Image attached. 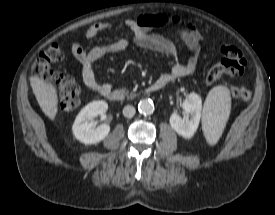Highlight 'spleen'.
I'll return each mask as SVG.
<instances>
[{"instance_id": "1", "label": "spleen", "mask_w": 275, "mask_h": 215, "mask_svg": "<svg viewBox=\"0 0 275 215\" xmlns=\"http://www.w3.org/2000/svg\"><path fill=\"white\" fill-rule=\"evenodd\" d=\"M231 108V97L227 87L219 85L211 89L203 108V131L207 142L214 145L219 140Z\"/></svg>"}]
</instances>
